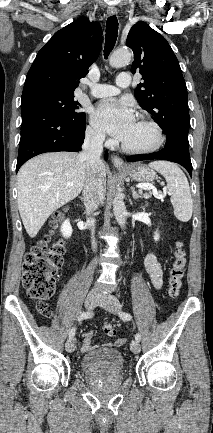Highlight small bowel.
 I'll use <instances>...</instances> for the list:
<instances>
[{"instance_id": "1", "label": "small bowel", "mask_w": 213, "mask_h": 433, "mask_svg": "<svg viewBox=\"0 0 213 433\" xmlns=\"http://www.w3.org/2000/svg\"><path fill=\"white\" fill-rule=\"evenodd\" d=\"M145 270L150 278L151 284L155 289H161L163 286V269L158 258L153 253H148L144 259ZM93 334L85 332L83 334L82 352H88L93 348ZM125 338H118L114 342L108 343L109 346H121L125 343Z\"/></svg>"}]
</instances>
